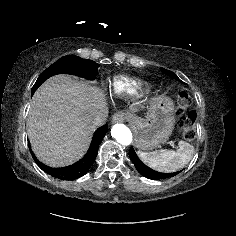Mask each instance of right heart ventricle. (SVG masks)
<instances>
[{"label": "right heart ventricle", "instance_id": "1", "mask_svg": "<svg viewBox=\"0 0 236 236\" xmlns=\"http://www.w3.org/2000/svg\"><path fill=\"white\" fill-rule=\"evenodd\" d=\"M144 88V83L136 78L119 76L110 83L111 92L120 97H132L138 95Z\"/></svg>", "mask_w": 236, "mask_h": 236}]
</instances>
